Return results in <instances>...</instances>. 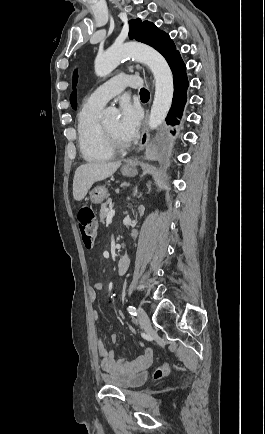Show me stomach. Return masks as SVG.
<instances>
[{
  "mask_svg": "<svg viewBox=\"0 0 265 434\" xmlns=\"http://www.w3.org/2000/svg\"><path fill=\"white\" fill-rule=\"evenodd\" d=\"M121 172L123 176H136L137 170L133 164H127V166H122ZM108 190L105 186H96L90 192V200L93 204H101L105 198H107Z\"/></svg>",
  "mask_w": 265,
  "mask_h": 434,
  "instance_id": "obj_1",
  "label": "stomach"
}]
</instances>
